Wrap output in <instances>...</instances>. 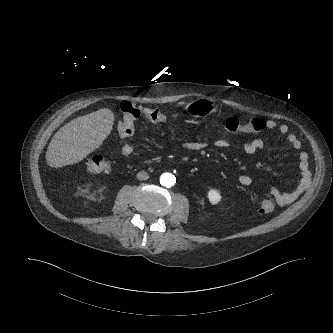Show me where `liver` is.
I'll return each mask as SVG.
<instances>
[{
    "label": "liver",
    "instance_id": "obj_1",
    "mask_svg": "<svg viewBox=\"0 0 333 333\" xmlns=\"http://www.w3.org/2000/svg\"><path fill=\"white\" fill-rule=\"evenodd\" d=\"M114 113L102 108L73 119L55 133L46 152L51 167H63L82 161L100 147L111 133Z\"/></svg>",
    "mask_w": 333,
    "mask_h": 333
}]
</instances>
